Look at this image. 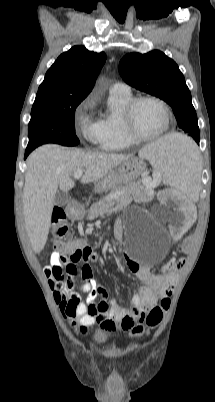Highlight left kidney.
Listing matches in <instances>:
<instances>
[{
	"label": "left kidney",
	"instance_id": "1",
	"mask_svg": "<svg viewBox=\"0 0 215 402\" xmlns=\"http://www.w3.org/2000/svg\"><path fill=\"white\" fill-rule=\"evenodd\" d=\"M163 205H168V215L174 220H167L165 226L175 240H182L188 233V226L195 221V209L187 202L184 193L165 187L160 193Z\"/></svg>",
	"mask_w": 215,
	"mask_h": 402
}]
</instances>
